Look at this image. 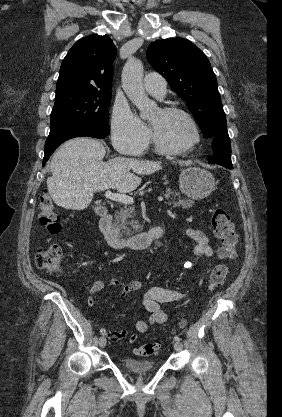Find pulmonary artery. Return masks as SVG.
I'll return each instance as SVG.
<instances>
[{
    "label": "pulmonary artery",
    "mask_w": 282,
    "mask_h": 417,
    "mask_svg": "<svg viewBox=\"0 0 282 417\" xmlns=\"http://www.w3.org/2000/svg\"><path fill=\"white\" fill-rule=\"evenodd\" d=\"M143 85L145 90L151 95L162 98L166 92V80L157 73H149L144 77Z\"/></svg>",
    "instance_id": "pulmonary-artery-1"
}]
</instances>
